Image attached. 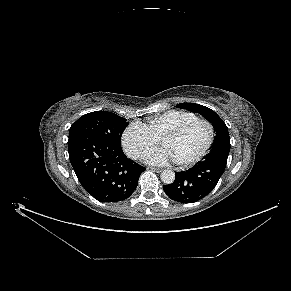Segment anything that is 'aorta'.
Returning a JSON list of instances; mask_svg holds the SVG:
<instances>
[{"instance_id":"762f6f07","label":"aorta","mask_w":291,"mask_h":291,"mask_svg":"<svg viewBox=\"0 0 291 291\" xmlns=\"http://www.w3.org/2000/svg\"><path fill=\"white\" fill-rule=\"evenodd\" d=\"M161 180L163 181V183L165 184H171L174 182L175 180V173L172 170H164L161 173Z\"/></svg>"}]
</instances>
